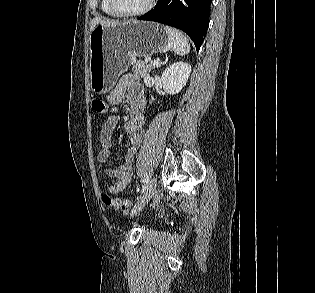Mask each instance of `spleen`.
Instances as JSON below:
<instances>
[{"label":"spleen","mask_w":315,"mask_h":293,"mask_svg":"<svg viewBox=\"0 0 315 293\" xmlns=\"http://www.w3.org/2000/svg\"><path fill=\"white\" fill-rule=\"evenodd\" d=\"M164 28L169 37V48L179 56L188 54L190 51V44L187 37L181 31L170 26H165Z\"/></svg>","instance_id":"3e777b00"}]
</instances>
